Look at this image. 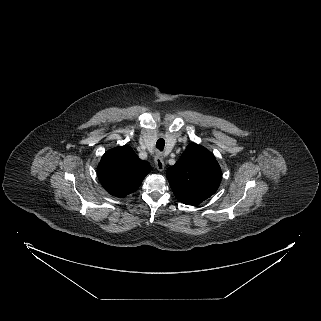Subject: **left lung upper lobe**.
I'll return each instance as SVG.
<instances>
[{
  "instance_id": "5c2ea615",
  "label": "left lung upper lobe",
  "mask_w": 321,
  "mask_h": 321,
  "mask_svg": "<svg viewBox=\"0 0 321 321\" xmlns=\"http://www.w3.org/2000/svg\"><path fill=\"white\" fill-rule=\"evenodd\" d=\"M166 175L180 202L197 205L217 191L221 168L210 151L191 143L175 165L168 168Z\"/></svg>"
}]
</instances>
